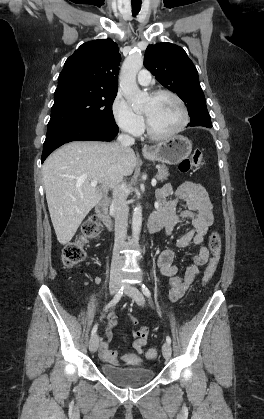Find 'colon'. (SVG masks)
<instances>
[{
	"label": "colon",
	"mask_w": 264,
	"mask_h": 419,
	"mask_svg": "<svg viewBox=\"0 0 264 419\" xmlns=\"http://www.w3.org/2000/svg\"><path fill=\"white\" fill-rule=\"evenodd\" d=\"M203 166V157L201 152L195 151L187 158L183 159L179 163V170L181 172H189L192 169H200ZM100 231L99 220L96 217L90 218L83 226L84 238L96 237ZM209 248L213 255L218 256L221 248V240L219 234L214 231L210 235ZM63 263L66 267H73L81 263L85 259V251L81 241L69 243L63 250L62 253ZM217 262L214 259L210 262L206 268L203 282L207 284L213 277L216 270ZM146 357L150 360H154L157 357V351L154 348H150L146 352Z\"/></svg>",
	"instance_id": "5ec220e1"
}]
</instances>
